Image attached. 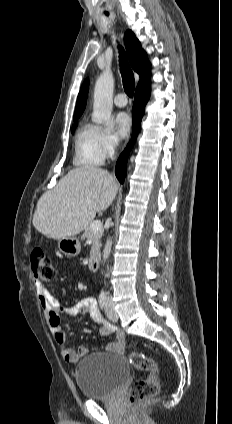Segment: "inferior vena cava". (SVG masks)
<instances>
[{
  "mask_svg": "<svg viewBox=\"0 0 232 424\" xmlns=\"http://www.w3.org/2000/svg\"><path fill=\"white\" fill-rule=\"evenodd\" d=\"M116 145H117V142L115 141V142H114V146H116Z\"/></svg>",
  "mask_w": 232,
  "mask_h": 424,
  "instance_id": "obj_1",
  "label": "inferior vena cava"
}]
</instances>
